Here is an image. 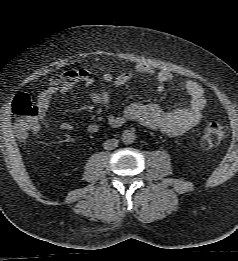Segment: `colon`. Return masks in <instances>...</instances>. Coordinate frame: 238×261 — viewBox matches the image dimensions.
Returning <instances> with one entry per match:
<instances>
[{"mask_svg": "<svg viewBox=\"0 0 238 261\" xmlns=\"http://www.w3.org/2000/svg\"><path fill=\"white\" fill-rule=\"evenodd\" d=\"M12 111L15 117L14 128L22 140L30 134L38 131V107L28 95H18L13 104ZM225 137V128L217 123H209L203 130L201 144L205 148H212L219 145Z\"/></svg>", "mask_w": 238, "mask_h": 261, "instance_id": "1", "label": "colon"}]
</instances>
